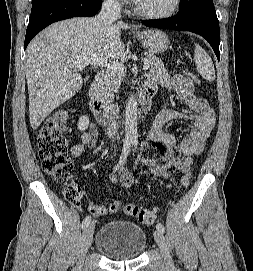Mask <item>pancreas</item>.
<instances>
[{
  "label": "pancreas",
  "mask_w": 253,
  "mask_h": 271,
  "mask_svg": "<svg viewBox=\"0 0 253 271\" xmlns=\"http://www.w3.org/2000/svg\"><path fill=\"white\" fill-rule=\"evenodd\" d=\"M144 61L150 65L149 70L153 73L166 74L168 72L161 59L153 54L146 55ZM123 78L124 74L116 71L106 74L99 86V97L102 102H109L113 98L114 93L118 92Z\"/></svg>",
  "instance_id": "pancreas-1"
}]
</instances>
